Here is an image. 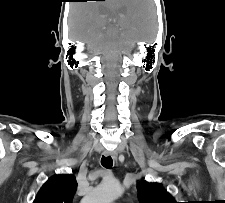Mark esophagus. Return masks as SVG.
Wrapping results in <instances>:
<instances>
[{
	"instance_id": "1",
	"label": "esophagus",
	"mask_w": 225,
	"mask_h": 203,
	"mask_svg": "<svg viewBox=\"0 0 225 203\" xmlns=\"http://www.w3.org/2000/svg\"><path fill=\"white\" fill-rule=\"evenodd\" d=\"M103 155L111 156L114 160L117 159V153L115 151H104Z\"/></svg>"
}]
</instances>
